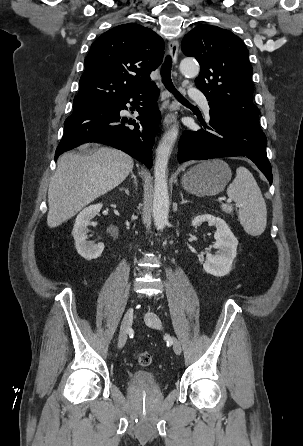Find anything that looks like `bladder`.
<instances>
[{"label": "bladder", "mask_w": 303, "mask_h": 446, "mask_svg": "<svg viewBox=\"0 0 303 446\" xmlns=\"http://www.w3.org/2000/svg\"><path fill=\"white\" fill-rule=\"evenodd\" d=\"M128 385L130 387L155 388L158 387L159 382L153 373L144 370H137L129 375Z\"/></svg>", "instance_id": "bladder-1"}]
</instances>
